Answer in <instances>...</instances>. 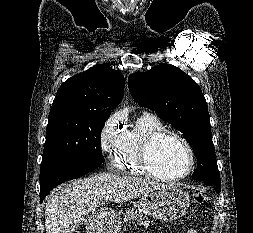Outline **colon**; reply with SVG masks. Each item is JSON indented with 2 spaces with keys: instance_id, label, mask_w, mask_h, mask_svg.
Segmentation results:
<instances>
[{
  "instance_id": "obj_1",
  "label": "colon",
  "mask_w": 253,
  "mask_h": 233,
  "mask_svg": "<svg viewBox=\"0 0 253 233\" xmlns=\"http://www.w3.org/2000/svg\"><path fill=\"white\" fill-rule=\"evenodd\" d=\"M193 201L197 204H201L205 201V197L203 194L195 193V194H193ZM203 233H205V232H203Z\"/></svg>"
}]
</instances>
